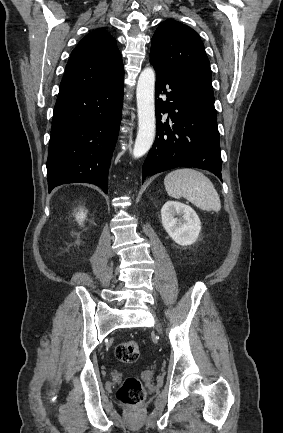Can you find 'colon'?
<instances>
[{"label": "colon", "instance_id": "colon-1", "mask_svg": "<svg viewBox=\"0 0 283 433\" xmlns=\"http://www.w3.org/2000/svg\"><path fill=\"white\" fill-rule=\"evenodd\" d=\"M140 354L139 345L136 341H125L120 343L115 350L116 358L122 362L131 364L137 361ZM144 397V390L140 381L135 377L124 380L117 391V398L130 406L139 404Z\"/></svg>", "mask_w": 283, "mask_h": 433}]
</instances>
